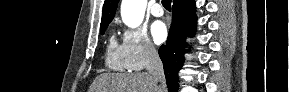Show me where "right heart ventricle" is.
<instances>
[{
	"mask_svg": "<svg viewBox=\"0 0 289 92\" xmlns=\"http://www.w3.org/2000/svg\"><path fill=\"white\" fill-rule=\"evenodd\" d=\"M107 64L114 70H125L126 65L124 62L121 46H119L113 37L110 38L106 52Z\"/></svg>",
	"mask_w": 289,
	"mask_h": 92,
	"instance_id": "right-heart-ventricle-1",
	"label": "right heart ventricle"
}]
</instances>
